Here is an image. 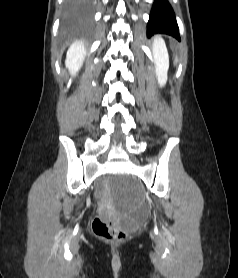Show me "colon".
Returning <instances> with one entry per match:
<instances>
[{
    "label": "colon",
    "instance_id": "1",
    "mask_svg": "<svg viewBox=\"0 0 238 278\" xmlns=\"http://www.w3.org/2000/svg\"><path fill=\"white\" fill-rule=\"evenodd\" d=\"M110 181V177H101L102 191L111 188ZM92 230L97 237L112 242H120L127 237V232L117 223L113 211L105 201L101 204V216L92 223Z\"/></svg>",
    "mask_w": 238,
    "mask_h": 278
}]
</instances>
